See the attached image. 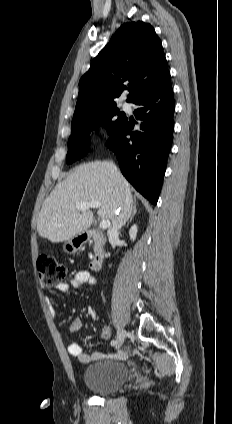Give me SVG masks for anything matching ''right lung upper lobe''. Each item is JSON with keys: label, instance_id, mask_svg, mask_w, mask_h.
I'll return each mask as SVG.
<instances>
[{"label": "right lung upper lobe", "instance_id": "obj_1", "mask_svg": "<svg viewBox=\"0 0 232 424\" xmlns=\"http://www.w3.org/2000/svg\"><path fill=\"white\" fill-rule=\"evenodd\" d=\"M168 71L162 44L149 23L123 24L93 59L79 81L73 119L92 110L116 105L129 82L127 102L155 87Z\"/></svg>", "mask_w": 232, "mask_h": 424}]
</instances>
